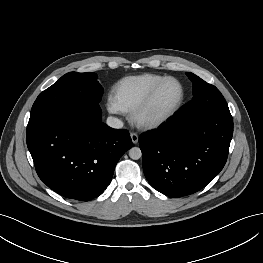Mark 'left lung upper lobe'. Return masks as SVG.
Wrapping results in <instances>:
<instances>
[{
	"label": "left lung upper lobe",
	"instance_id": "5c2ea615",
	"mask_svg": "<svg viewBox=\"0 0 263 263\" xmlns=\"http://www.w3.org/2000/svg\"><path fill=\"white\" fill-rule=\"evenodd\" d=\"M186 74L193 83V99L177 112L183 123L212 114L230 113L224 97L215 86L193 73Z\"/></svg>",
	"mask_w": 263,
	"mask_h": 263
}]
</instances>
